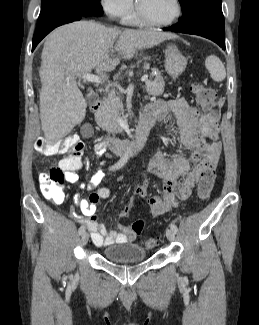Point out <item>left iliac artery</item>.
I'll use <instances>...</instances> for the list:
<instances>
[{"mask_svg": "<svg viewBox=\"0 0 259 325\" xmlns=\"http://www.w3.org/2000/svg\"><path fill=\"white\" fill-rule=\"evenodd\" d=\"M171 229L176 233L178 231L177 226L174 223L170 224Z\"/></svg>", "mask_w": 259, "mask_h": 325, "instance_id": "44dca946", "label": "left iliac artery"}]
</instances>
